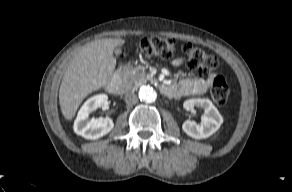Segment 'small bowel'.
<instances>
[{
  "label": "small bowel",
  "instance_id": "c3829d8e",
  "mask_svg": "<svg viewBox=\"0 0 292 192\" xmlns=\"http://www.w3.org/2000/svg\"><path fill=\"white\" fill-rule=\"evenodd\" d=\"M182 63V58H175L172 61L174 66H180ZM214 78L215 75H211L207 78H186L176 84L167 85L164 93L174 98L205 94L211 87Z\"/></svg>",
  "mask_w": 292,
  "mask_h": 192
}]
</instances>
